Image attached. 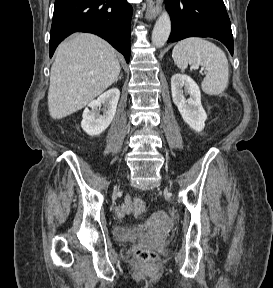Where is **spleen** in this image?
I'll list each match as a JSON object with an SVG mask.
<instances>
[{
  "mask_svg": "<svg viewBox=\"0 0 273 288\" xmlns=\"http://www.w3.org/2000/svg\"><path fill=\"white\" fill-rule=\"evenodd\" d=\"M172 58L178 68L201 65L207 69L202 81V90L208 95H219L227 87L229 66L225 53L214 43L199 37H190L178 42Z\"/></svg>",
  "mask_w": 273,
  "mask_h": 288,
  "instance_id": "obj_1",
  "label": "spleen"
}]
</instances>
